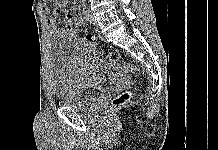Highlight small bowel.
<instances>
[{
  "mask_svg": "<svg viewBox=\"0 0 218 150\" xmlns=\"http://www.w3.org/2000/svg\"><path fill=\"white\" fill-rule=\"evenodd\" d=\"M50 1H53L56 6V9L54 11L50 10V7L46 2H44L43 5V10L47 14V22H48L50 34L53 37L64 36L67 33V30L58 26L57 17L59 16V14L64 12L63 7L66 3L70 5H75L76 0H50Z\"/></svg>",
  "mask_w": 218,
  "mask_h": 150,
  "instance_id": "1",
  "label": "small bowel"
}]
</instances>
